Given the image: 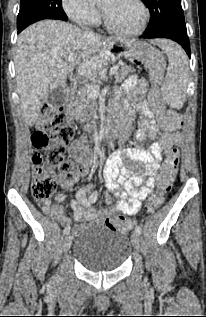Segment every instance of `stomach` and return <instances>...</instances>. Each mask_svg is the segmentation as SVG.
I'll return each mask as SVG.
<instances>
[{
	"label": "stomach",
	"mask_w": 206,
	"mask_h": 317,
	"mask_svg": "<svg viewBox=\"0 0 206 317\" xmlns=\"http://www.w3.org/2000/svg\"><path fill=\"white\" fill-rule=\"evenodd\" d=\"M152 55V47L144 42H128L125 44L124 56L128 66H143L144 61ZM109 55H94L93 59H82L77 67V74H97L100 66H109ZM84 83H96V76H84Z\"/></svg>",
	"instance_id": "stomach-1"
}]
</instances>
